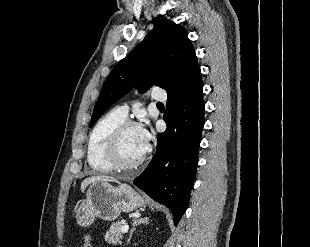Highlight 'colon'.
Masks as SVG:
<instances>
[{
	"label": "colon",
	"mask_w": 310,
	"mask_h": 247,
	"mask_svg": "<svg viewBox=\"0 0 310 247\" xmlns=\"http://www.w3.org/2000/svg\"><path fill=\"white\" fill-rule=\"evenodd\" d=\"M83 247H93L89 236L85 237Z\"/></svg>",
	"instance_id": "obj_1"
}]
</instances>
